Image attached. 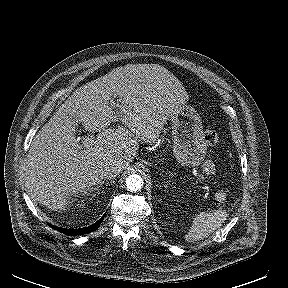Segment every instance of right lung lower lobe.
<instances>
[{"label":"right lung lower lobe","instance_id":"obj_1","mask_svg":"<svg viewBox=\"0 0 288 288\" xmlns=\"http://www.w3.org/2000/svg\"><path fill=\"white\" fill-rule=\"evenodd\" d=\"M106 214H104L96 223H94L93 225L89 226V227H85V228H80V229H63V228H60V227H55L52 225V228H54L55 230L65 234V235H83V234H87V233H90V232H93L95 231L98 226L101 224V222L103 221L104 219V216ZM51 227V225H50Z\"/></svg>","mask_w":288,"mask_h":288}]
</instances>
